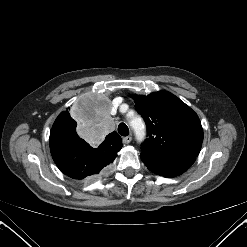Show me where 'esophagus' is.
<instances>
[{
	"label": "esophagus",
	"mask_w": 247,
	"mask_h": 247,
	"mask_svg": "<svg viewBox=\"0 0 247 247\" xmlns=\"http://www.w3.org/2000/svg\"><path fill=\"white\" fill-rule=\"evenodd\" d=\"M131 140H132V137H131V136H126V137H124V138L122 139V141H123L124 144L130 143Z\"/></svg>",
	"instance_id": "34e87169"
}]
</instances>
